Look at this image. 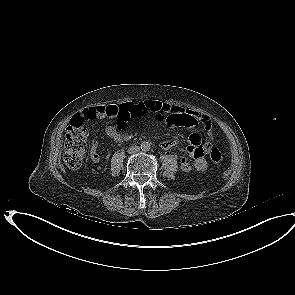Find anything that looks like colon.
Instances as JSON below:
<instances>
[{
    "mask_svg": "<svg viewBox=\"0 0 295 295\" xmlns=\"http://www.w3.org/2000/svg\"><path fill=\"white\" fill-rule=\"evenodd\" d=\"M105 115L113 119L120 129H124L133 116V110L127 105L107 106ZM87 137L88 131L83 122L73 119L66 130L64 141V162L70 169L77 170L82 166L87 149ZM209 156L216 164L223 160L222 153L217 147L210 149Z\"/></svg>",
    "mask_w": 295,
    "mask_h": 295,
    "instance_id": "obj_1",
    "label": "colon"
}]
</instances>
